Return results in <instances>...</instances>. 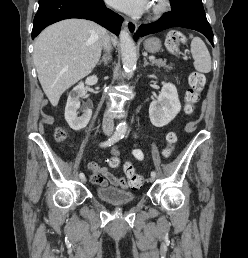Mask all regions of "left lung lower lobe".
<instances>
[{"label": "left lung lower lobe", "instance_id": "left-lung-lower-lobe-1", "mask_svg": "<svg viewBox=\"0 0 248 258\" xmlns=\"http://www.w3.org/2000/svg\"><path fill=\"white\" fill-rule=\"evenodd\" d=\"M171 8L172 10L165 13L159 20L141 25L134 35L135 40L171 27H184L201 32L214 46L212 29L207 21L202 4L188 3L171 6Z\"/></svg>", "mask_w": 248, "mask_h": 258}]
</instances>
